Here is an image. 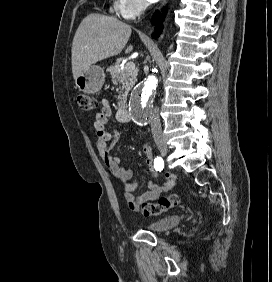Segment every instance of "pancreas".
I'll use <instances>...</instances> for the list:
<instances>
[{
  "mask_svg": "<svg viewBox=\"0 0 272 282\" xmlns=\"http://www.w3.org/2000/svg\"><path fill=\"white\" fill-rule=\"evenodd\" d=\"M107 72L114 84H122L118 96V105L122 106L126 103L127 95L136 82L137 70H122L118 61L114 65L109 66Z\"/></svg>",
  "mask_w": 272,
  "mask_h": 282,
  "instance_id": "obj_1",
  "label": "pancreas"
}]
</instances>
